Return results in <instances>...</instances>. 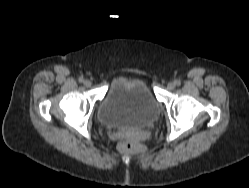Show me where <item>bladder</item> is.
I'll use <instances>...</instances> for the list:
<instances>
[{"label":"bladder","instance_id":"obj_1","mask_svg":"<svg viewBox=\"0 0 249 188\" xmlns=\"http://www.w3.org/2000/svg\"><path fill=\"white\" fill-rule=\"evenodd\" d=\"M160 114L149 85L136 77H121L108 89L98 107V118L106 126L142 127Z\"/></svg>","mask_w":249,"mask_h":188}]
</instances>
